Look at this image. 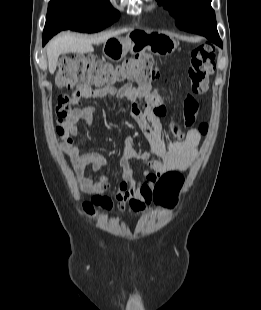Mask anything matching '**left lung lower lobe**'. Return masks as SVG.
<instances>
[{"label": "left lung lower lobe", "mask_w": 261, "mask_h": 310, "mask_svg": "<svg viewBox=\"0 0 261 310\" xmlns=\"http://www.w3.org/2000/svg\"><path fill=\"white\" fill-rule=\"evenodd\" d=\"M192 33H197L208 38L211 42L222 47V41L219 38L216 23L211 21H202L191 28Z\"/></svg>", "instance_id": "0a47b994"}]
</instances>
